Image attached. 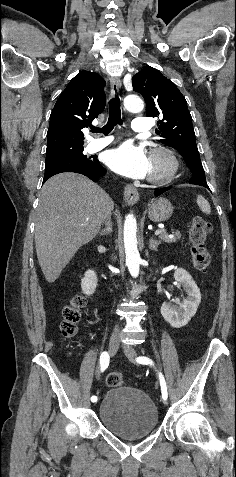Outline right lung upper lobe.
Masks as SVG:
<instances>
[{"label": "right lung upper lobe", "instance_id": "right-lung-upper-lobe-1", "mask_svg": "<svg viewBox=\"0 0 236 477\" xmlns=\"http://www.w3.org/2000/svg\"><path fill=\"white\" fill-rule=\"evenodd\" d=\"M105 81L82 71L61 93L50 115L45 163L62 160L84 150L83 128L103 112Z\"/></svg>", "mask_w": 236, "mask_h": 477}]
</instances>
